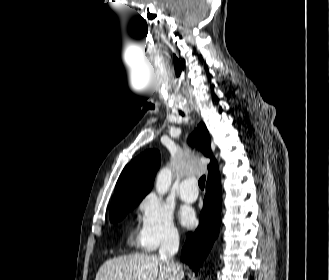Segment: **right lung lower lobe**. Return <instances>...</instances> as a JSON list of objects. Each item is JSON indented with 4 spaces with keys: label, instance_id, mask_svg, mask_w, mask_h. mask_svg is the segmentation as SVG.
Listing matches in <instances>:
<instances>
[{
    "label": "right lung lower lobe",
    "instance_id": "1",
    "mask_svg": "<svg viewBox=\"0 0 329 280\" xmlns=\"http://www.w3.org/2000/svg\"><path fill=\"white\" fill-rule=\"evenodd\" d=\"M221 215L220 174L216 172L208 178L204 207L200 214L199 227L191 234L182 248L181 260L187 263L196 273L207 257L217 238Z\"/></svg>",
    "mask_w": 329,
    "mask_h": 280
}]
</instances>
